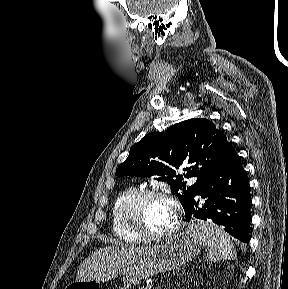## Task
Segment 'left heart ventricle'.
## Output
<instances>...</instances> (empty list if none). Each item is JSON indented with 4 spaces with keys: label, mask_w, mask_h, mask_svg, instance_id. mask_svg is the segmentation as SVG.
<instances>
[{
    "label": "left heart ventricle",
    "mask_w": 288,
    "mask_h": 289,
    "mask_svg": "<svg viewBox=\"0 0 288 289\" xmlns=\"http://www.w3.org/2000/svg\"><path fill=\"white\" fill-rule=\"evenodd\" d=\"M136 218L142 229L159 232L167 229L173 222V209L164 199L148 197L141 201L136 211Z\"/></svg>",
    "instance_id": "b2bd125f"
}]
</instances>
